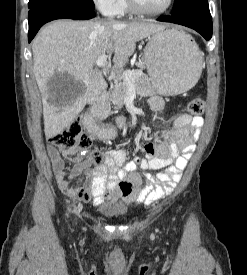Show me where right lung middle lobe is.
Returning a JSON list of instances; mask_svg holds the SVG:
<instances>
[{"mask_svg": "<svg viewBox=\"0 0 247 275\" xmlns=\"http://www.w3.org/2000/svg\"><path fill=\"white\" fill-rule=\"evenodd\" d=\"M50 4H64L70 7L94 10L93 0H30L29 8H36Z\"/></svg>", "mask_w": 247, "mask_h": 275, "instance_id": "dd1d6c3e", "label": "right lung middle lobe"}]
</instances>
